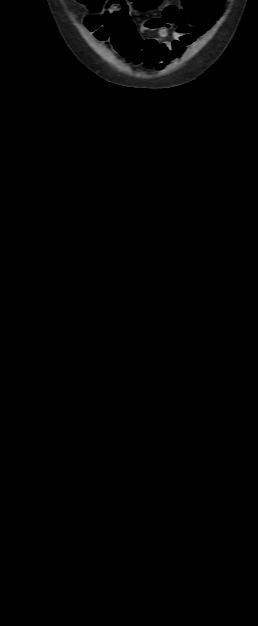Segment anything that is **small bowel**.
Listing matches in <instances>:
<instances>
[{
    "label": "small bowel",
    "mask_w": 258,
    "mask_h": 626,
    "mask_svg": "<svg viewBox=\"0 0 258 626\" xmlns=\"http://www.w3.org/2000/svg\"><path fill=\"white\" fill-rule=\"evenodd\" d=\"M227 3L228 0H182L180 4H169L161 17L148 19L141 25L142 31H156L157 37L143 39L123 10L124 2L112 0L102 18L96 16L100 23L92 31L129 60L161 69L205 34ZM85 23L89 28L87 20ZM170 31H173L172 40L167 39Z\"/></svg>",
    "instance_id": "obj_1"
}]
</instances>
